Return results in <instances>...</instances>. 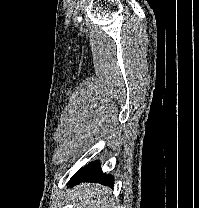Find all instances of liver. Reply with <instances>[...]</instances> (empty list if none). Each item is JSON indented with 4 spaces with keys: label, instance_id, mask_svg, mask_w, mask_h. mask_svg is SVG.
<instances>
[{
    "label": "liver",
    "instance_id": "6515ba94",
    "mask_svg": "<svg viewBox=\"0 0 199 208\" xmlns=\"http://www.w3.org/2000/svg\"><path fill=\"white\" fill-rule=\"evenodd\" d=\"M110 189L101 185L80 184L73 189L75 208H109Z\"/></svg>",
    "mask_w": 199,
    "mask_h": 208
}]
</instances>
